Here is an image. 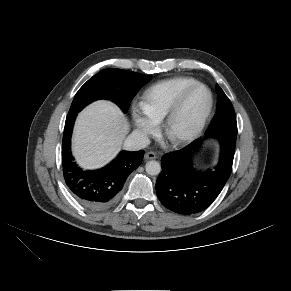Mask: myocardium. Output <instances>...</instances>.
<instances>
[{
	"mask_svg": "<svg viewBox=\"0 0 291 291\" xmlns=\"http://www.w3.org/2000/svg\"><path fill=\"white\" fill-rule=\"evenodd\" d=\"M199 88L205 89L209 95V103H208V106H207L205 112L201 116L197 125L189 133H187L185 135H181V136H173L171 134V126H172L174 119L176 118L177 114L181 110L182 106L184 105V103L187 100V98L189 97V95ZM213 105H214L213 93L207 85L198 82V83L188 87L180 94V96L177 98V100L174 102V104L172 105V107L169 109L166 116L164 117L163 123H162V130H163L164 135L169 139V141L171 143H173L176 146H184V145L190 143L196 137H198L199 134L204 129V127L209 119V116L212 112Z\"/></svg>",
	"mask_w": 291,
	"mask_h": 291,
	"instance_id": "f54148a6",
	"label": "myocardium"
}]
</instances>
